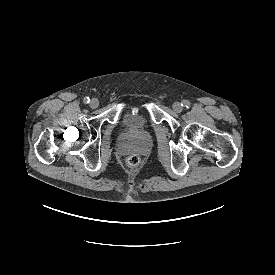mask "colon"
I'll use <instances>...</instances> for the list:
<instances>
[{"label": "colon", "instance_id": "1", "mask_svg": "<svg viewBox=\"0 0 275 275\" xmlns=\"http://www.w3.org/2000/svg\"><path fill=\"white\" fill-rule=\"evenodd\" d=\"M139 162H140V157L136 154L129 156L127 161L130 167H136L139 164Z\"/></svg>", "mask_w": 275, "mask_h": 275}]
</instances>
